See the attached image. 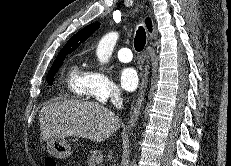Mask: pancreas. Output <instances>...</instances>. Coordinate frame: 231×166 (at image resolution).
<instances>
[{
	"instance_id": "pancreas-1",
	"label": "pancreas",
	"mask_w": 231,
	"mask_h": 166,
	"mask_svg": "<svg viewBox=\"0 0 231 166\" xmlns=\"http://www.w3.org/2000/svg\"><path fill=\"white\" fill-rule=\"evenodd\" d=\"M102 160H103L102 152L99 150H94L91 151V154L87 159V164L88 166H98L99 164H101Z\"/></svg>"
}]
</instances>
